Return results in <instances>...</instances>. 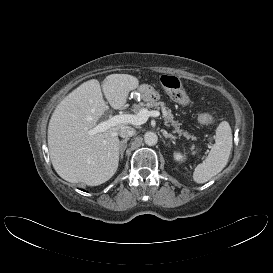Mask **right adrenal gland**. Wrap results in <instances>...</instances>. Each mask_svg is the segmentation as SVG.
I'll list each match as a JSON object with an SVG mask.
<instances>
[{"label":"right adrenal gland","instance_id":"1","mask_svg":"<svg viewBox=\"0 0 273 273\" xmlns=\"http://www.w3.org/2000/svg\"><path fill=\"white\" fill-rule=\"evenodd\" d=\"M129 138H126L122 141H120V145H119V151H120V158H123L124 152L127 148V142H128Z\"/></svg>","mask_w":273,"mask_h":273}]
</instances>
